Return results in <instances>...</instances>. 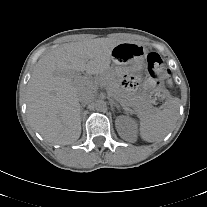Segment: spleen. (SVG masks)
<instances>
[{"mask_svg": "<svg viewBox=\"0 0 207 207\" xmlns=\"http://www.w3.org/2000/svg\"><path fill=\"white\" fill-rule=\"evenodd\" d=\"M179 106V99L172 98L162 111L141 119L139 123L141 138L147 142H155L164 138L177 122ZM133 126L137 127L135 122H133Z\"/></svg>", "mask_w": 207, "mask_h": 207, "instance_id": "1", "label": "spleen"}]
</instances>
